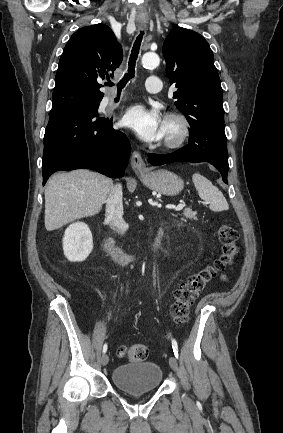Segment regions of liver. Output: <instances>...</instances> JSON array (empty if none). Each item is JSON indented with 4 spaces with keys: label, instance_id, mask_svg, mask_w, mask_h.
<instances>
[{
    "label": "liver",
    "instance_id": "liver-1",
    "mask_svg": "<svg viewBox=\"0 0 283 433\" xmlns=\"http://www.w3.org/2000/svg\"><path fill=\"white\" fill-rule=\"evenodd\" d=\"M112 188V178L83 168L54 174L45 188V229L97 214Z\"/></svg>",
    "mask_w": 283,
    "mask_h": 433
}]
</instances>
